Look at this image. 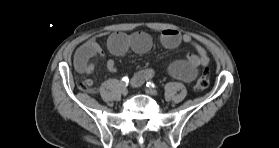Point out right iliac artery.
I'll list each match as a JSON object with an SVG mask.
<instances>
[{
	"instance_id": "obj_1",
	"label": "right iliac artery",
	"mask_w": 279,
	"mask_h": 148,
	"mask_svg": "<svg viewBox=\"0 0 279 148\" xmlns=\"http://www.w3.org/2000/svg\"><path fill=\"white\" fill-rule=\"evenodd\" d=\"M128 81H129L128 77H123L121 81L122 87H127Z\"/></svg>"
}]
</instances>
